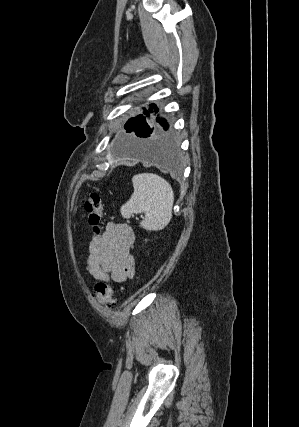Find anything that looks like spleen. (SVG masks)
I'll use <instances>...</instances> for the list:
<instances>
[{
	"label": "spleen",
	"instance_id": "obj_1",
	"mask_svg": "<svg viewBox=\"0 0 299 427\" xmlns=\"http://www.w3.org/2000/svg\"><path fill=\"white\" fill-rule=\"evenodd\" d=\"M134 192L122 205L120 212L124 218L133 214L145 213L140 226L149 231L165 228L172 218L174 192L171 185L162 177L152 173L133 176Z\"/></svg>",
	"mask_w": 299,
	"mask_h": 427
}]
</instances>
